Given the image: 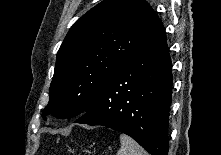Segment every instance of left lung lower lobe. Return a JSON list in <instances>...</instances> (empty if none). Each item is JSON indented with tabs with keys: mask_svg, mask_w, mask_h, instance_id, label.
Listing matches in <instances>:
<instances>
[{
	"mask_svg": "<svg viewBox=\"0 0 221 155\" xmlns=\"http://www.w3.org/2000/svg\"><path fill=\"white\" fill-rule=\"evenodd\" d=\"M171 59L159 22L75 123L103 125L135 139L151 155H168Z\"/></svg>",
	"mask_w": 221,
	"mask_h": 155,
	"instance_id": "left-lung-lower-lobe-1",
	"label": "left lung lower lobe"
}]
</instances>
